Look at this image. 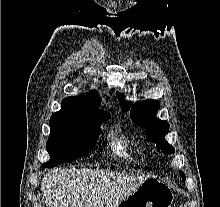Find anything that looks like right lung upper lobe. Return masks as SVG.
<instances>
[{"mask_svg":"<svg viewBox=\"0 0 220 207\" xmlns=\"http://www.w3.org/2000/svg\"><path fill=\"white\" fill-rule=\"evenodd\" d=\"M64 102L75 105L80 112L92 115L97 119L106 121L110 118V113L98 108L100 97L95 90L91 91L87 97L83 95L67 97Z\"/></svg>","mask_w":220,"mask_h":207,"instance_id":"cb5924a9","label":"right lung upper lobe"}]
</instances>
